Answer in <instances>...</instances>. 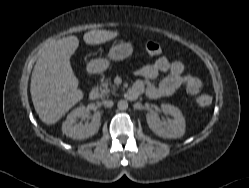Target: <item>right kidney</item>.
I'll list each match as a JSON object with an SVG mask.
<instances>
[{
	"instance_id": "right-kidney-1",
	"label": "right kidney",
	"mask_w": 249,
	"mask_h": 188,
	"mask_svg": "<svg viewBox=\"0 0 249 188\" xmlns=\"http://www.w3.org/2000/svg\"><path fill=\"white\" fill-rule=\"evenodd\" d=\"M88 115L85 106H80L71 111L62 125V132L73 139H86L96 134L100 127L101 115L99 112L92 116L91 122L87 124L75 123L77 118L84 119Z\"/></svg>"
}]
</instances>
